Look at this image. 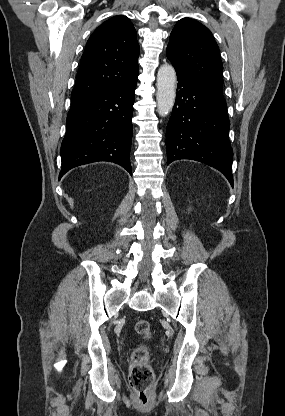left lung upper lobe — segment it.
<instances>
[{
  "label": "left lung upper lobe",
  "mask_w": 285,
  "mask_h": 416,
  "mask_svg": "<svg viewBox=\"0 0 285 416\" xmlns=\"http://www.w3.org/2000/svg\"><path fill=\"white\" fill-rule=\"evenodd\" d=\"M167 58L177 75L222 94L223 65L211 31L201 23L183 18L170 34Z\"/></svg>",
  "instance_id": "left-lung-upper-lobe-1"
}]
</instances>
